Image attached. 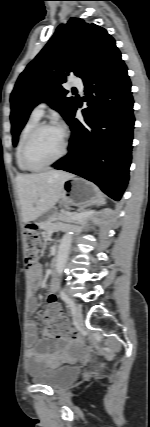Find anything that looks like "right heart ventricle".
Listing matches in <instances>:
<instances>
[{
	"label": "right heart ventricle",
	"mask_w": 150,
	"mask_h": 427,
	"mask_svg": "<svg viewBox=\"0 0 150 427\" xmlns=\"http://www.w3.org/2000/svg\"><path fill=\"white\" fill-rule=\"evenodd\" d=\"M40 117L36 116L34 113H32L30 115V117L27 119V121L25 122L19 138H18V142H17V146H16V152H15V156H16V162H17V166L20 170L22 171H27V169L25 168V166L23 165L22 159H21V150H22V145L23 142L27 136V134L30 132V130L39 123Z\"/></svg>",
	"instance_id": "1"
}]
</instances>
